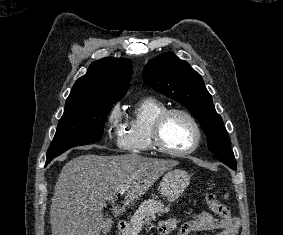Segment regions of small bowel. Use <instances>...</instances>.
Wrapping results in <instances>:
<instances>
[{"label": "small bowel", "mask_w": 283, "mask_h": 235, "mask_svg": "<svg viewBox=\"0 0 283 235\" xmlns=\"http://www.w3.org/2000/svg\"><path fill=\"white\" fill-rule=\"evenodd\" d=\"M239 221L237 219L220 220L212 217L207 212L193 216L177 228V220L168 219L160 223L159 231L168 234L177 229V235H191L199 231H218L217 235H237Z\"/></svg>", "instance_id": "c3829d8e"}]
</instances>
